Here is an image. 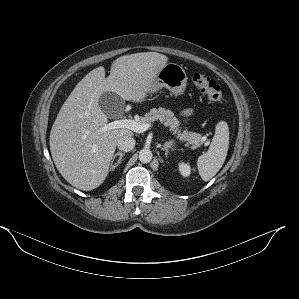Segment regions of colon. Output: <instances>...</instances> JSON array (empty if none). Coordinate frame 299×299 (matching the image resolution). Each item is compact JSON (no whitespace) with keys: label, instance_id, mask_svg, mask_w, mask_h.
<instances>
[{"label":"colon","instance_id":"1","mask_svg":"<svg viewBox=\"0 0 299 299\" xmlns=\"http://www.w3.org/2000/svg\"><path fill=\"white\" fill-rule=\"evenodd\" d=\"M192 82L208 100L216 103L224 100V94L220 85L208 75L204 73H194L192 75Z\"/></svg>","mask_w":299,"mask_h":299}]
</instances>
